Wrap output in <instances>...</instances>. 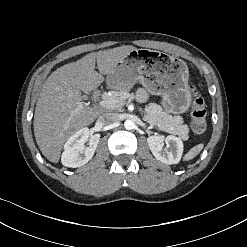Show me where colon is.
Listing matches in <instances>:
<instances>
[{
	"label": "colon",
	"mask_w": 247,
	"mask_h": 247,
	"mask_svg": "<svg viewBox=\"0 0 247 247\" xmlns=\"http://www.w3.org/2000/svg\"><path fill=\"white\" fill-rule=\"evenodd\" d=\"M189 91L192 94L191 102V126L196 134H202L206 129V108L203 99L198 95L194 86H189Z\"/></svg>",
	"instance_id": "1"
}]
</instances>
